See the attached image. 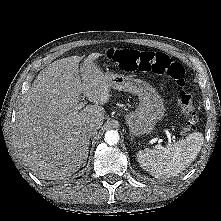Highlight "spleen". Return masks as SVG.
Wrapping results in <instances>:
<instances>
[{
    "instance_id": "spleen-1",
    "label": "spleen",
    "mask_w": 221,
    "mask_h": 221,
    "mask_svg": "<svg viewBox=\"0 0 221 221\" xmlns=\"http://www.w3.org/2000/svg\"><path fill=\"white\" fill-rule=\"evenodd\" d=\"M203 141L202 133L194 132L165 147L158 145L152 149L140 150L137 161L156 178L177 176L196 159Z\"/></svg>"
}]
</instances>
